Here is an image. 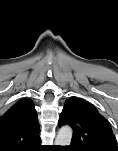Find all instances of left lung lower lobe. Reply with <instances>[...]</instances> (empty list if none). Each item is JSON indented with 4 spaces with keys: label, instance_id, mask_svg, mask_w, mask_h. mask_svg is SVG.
I'll return each instance as SVG.
<instances>
[{
    "label": "left lung lower lobe",
    "instance_id": "0a47b994",
    "mask_svg": "<svg viewBox=\"0 0 118 151\" xmlns=\"http://www.w3.org/2000/svg\"><path fill=\"white\" fill-rule=\"evenodd\" d=\"M68 150H70V151H71V150H73V148L69 147V149H68Z\"/></svg>",
    "mask_w": 118,
    "mask_h": 151
}]
</instances>
